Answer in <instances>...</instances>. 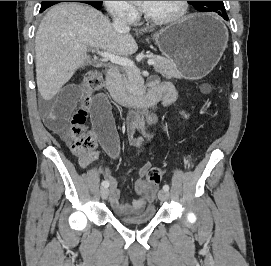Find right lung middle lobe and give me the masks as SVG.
I'll return each instance as SVG.
<instances>
[{
    "label": "right lung middle lobe",
    "instance_id": "dd1d6c3e",
    "mask_svg": "<svg viewBox=\"0 0 271 266\" xmlns=\"http://www.w3.org/2000/svg\"><path fill=\"white\" fill-rule=\"evenodd\" d=\"M59 2H63V1H42L41 4V9H47L48 7L57 4ZM84 2H89L95 5H98L99 7L102 5V1H84Z\"/></svg>",
    "mask_w": 271,
    "mask_h": 266
}]
</instances>
